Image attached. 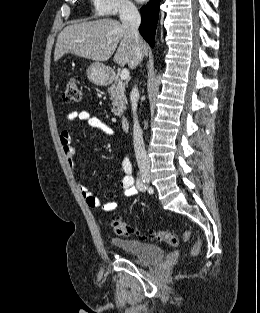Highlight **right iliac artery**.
<instances>
[{
    "mask_svg": "<svg viewBox=\"0 0 260 313\" xmlns=\"http://www.w3.org/2000/svg\"><path fill=\"white\" fill-rule=\"evenodd\" d=\"M136 186L140 191L146 190V184H145V180L143 179V177L138 176Z\"/></svg>",
    "mask_w": 260,
    "mask_h": 313,
    "instance_id": "82829eb1",
    "label": "right iliac artery"
}]
</instances>
